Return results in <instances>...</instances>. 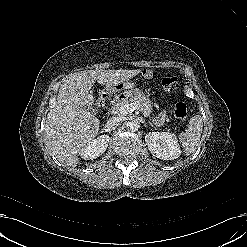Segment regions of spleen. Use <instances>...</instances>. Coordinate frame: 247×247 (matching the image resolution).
<instances>
[{
	"label": "spleen",
	"instance_id": "3e777b00",
	"mask_svg": "<svg viewBox=\"0 0 247 247\" xmlns=\"http://www.w3.org/2000/svg\"><path fill=\"white\" fill-rule=\"evenodd\" d=\"M202 129V117L196 115L190 119L186 131L179 134V140L187 155L196 151L201 138Z\"/></svg>",
	"mask_w": 247,
	"mask_h": 247
}]
</instances>
